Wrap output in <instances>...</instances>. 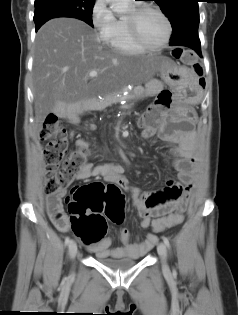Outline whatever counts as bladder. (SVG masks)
Here are the masks:
<instances>
[{"label":"bladder","mask_w":238,"mask_h":315,"mask_svg":"<svg viewBox=\"0 0 238 315\" xmlns=\"http://www.w3.org/2000/svg\"><path fill=\"white\" fill-rule=\"evenodd\" d=\"M98 262H100L103 266L106 268L113 270V271H124L132 266L136 265L138 262L137 258H129V259H108V258H102L100 257L98 259Z\"/></svg>","instance_id":"1"}]
</instances>
